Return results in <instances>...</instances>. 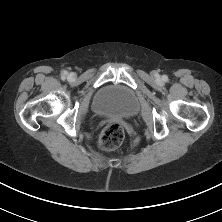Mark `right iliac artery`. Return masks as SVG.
<instances>
[{"instance_id": "right-iliac-artery-1", "label": "right iliac artery", "mask_w": 222, "mask_h": 222, "mask_svg": "<svg viewBox=\"0 0 222 222\" xmlns=\"http://www.w3.org/2000/svg\"><path fill=\"white\" fill-rule=\"evenodd\" d=\"M66 75H67V72H66V71L62 72V77H63V78H65Z\"/></svg>"}]
</instances>
